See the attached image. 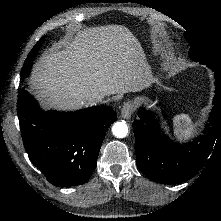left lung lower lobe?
<instances>
[{
	"label": "left lung lower lobe",
	"mask_w": 221,
	"mask_h": 221,
	"mask_svg": "<svg viewBox=\"0 0 221 221\" xmlns=\"http://www.w3.org/2000/svg\"><path fill=\"white\" fill-rule=\"evenodd\" d=\"M213 109L204 135L179 145L166 138L153 113L141 109L133 123L136 162L140 170L159 183H177L194 177L204 165L215 140L221 139V81L217 80ZM216 140V141H217Z\"/></svg>",
	"instance_id": "0a47b994"
}]
</instances>
